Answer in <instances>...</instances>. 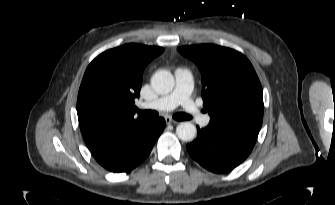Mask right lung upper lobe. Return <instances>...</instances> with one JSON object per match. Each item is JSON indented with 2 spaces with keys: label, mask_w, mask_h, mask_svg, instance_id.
<instances>
[{
  "label": "right lung upper lobe",
  "mask_w": 335,
  "mask_h": 205,
  "mask_svg": "<svg viewBox=\"0 0 335 205\" xmlns=\"http://www.w3.org/2000/svg\"><path fill=\"white\" fill-rule=\"evenodd\" d=\"M164 51L130 43L107 50L87 67L77 98L80 129L89 150L108 151L136 140L154 119L134 116L146 65Z\"/></svg>",
  "instance_id": "cb5924a9"
}]
</instances>
